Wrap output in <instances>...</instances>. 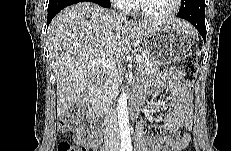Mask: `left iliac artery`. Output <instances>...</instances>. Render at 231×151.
<instances>
[{"instance_id":"left-iliac-artery-1","label":"left iliac artery","mask_w":231,"mask_h":151,"mask_svg":"<svg viewBox=\"0 0 231 151\" xmlns=\"http://www.w3.org/2000/svg\"><path fill=\"white\" fill-rule=\"evenodd\" d=\"M126 150H127V151H132V145H130V144L127 145V146H126Z\"/></svg>"}]
</instances>
